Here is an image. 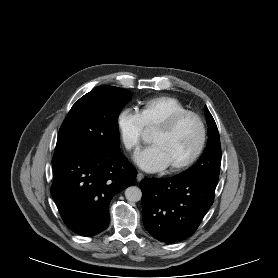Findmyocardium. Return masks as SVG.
<instances>
[{
  "mask_svg": "<svg viewBox=\"0 0 278 278\" xmlns=\"http://www.w3.org/2000/svg\"><path fill=\"white\" fill-rule=\"evenodd\" d=\"M188 118L195 120L199 127V142L196 149L189 157L178 163L168 166V169L172 172L181 171L191 166L203 153L207 142V128L205 122L199 114L192 111H186L170 117L168 120L155 127V130L168 133L173 131L182 121Z\"/></svg>",
  "mask_w": 278,
  "mask_h": 278,
  "instance_id": "myocardium-1",
  "label": "myocardium"
}]
</instances>
